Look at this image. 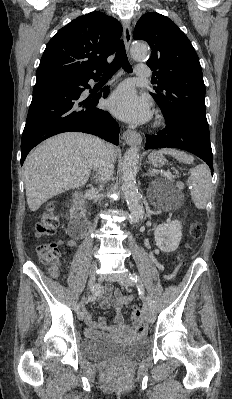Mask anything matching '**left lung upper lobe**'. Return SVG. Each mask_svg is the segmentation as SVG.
Wrapping results in <instances>:
<instances>
[{
	"label": "left lung upper lobe",
	"mask_w": 232,
	"mask_h": 399,
	"mask_svg": "<svg viewBox=\"0 0 232 399\" xmlns=\"http://www.w3.org/2000/svg\"><path fill=\"white\" fill-rule=\"evenodd\" d=\"M133 38L145 40L152 49L147 65L153 70L150 93L166 119L185 122L209 135L205 112V85L198 55L191 42L168 17L156 12L144 14Z\"/></svg>",
	"instance_id": "obj_1"
}]
</instances>
